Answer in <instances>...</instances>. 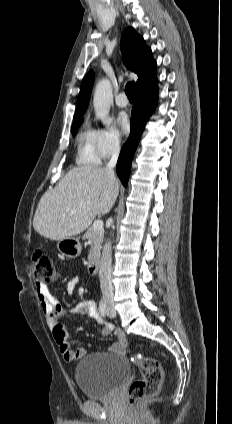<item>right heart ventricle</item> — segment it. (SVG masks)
Returning a JSON list of instances; mask_svg holds the SVG:
<instances>
[{"label":"right heart ventricle","instance_id":"e07e8e85","mask_svg":"<svg viewBox=\"0 0 232 424\" xmlns=\"http://www.w3.org/2000/svg\"><path fill=\"white\" fill-rule=\"evenodd\" d=\"M101 156L96 146V130L83 126L76 137V163L82 166L98 165Z\"/></svg>","mask_w":232,"mask_h":424}]
</instances>
